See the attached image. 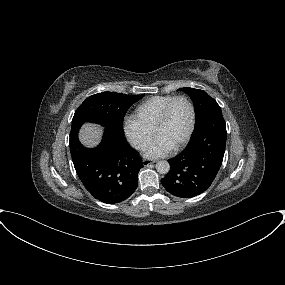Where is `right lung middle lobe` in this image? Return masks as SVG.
Returning a JSON list of instances; mask_svg holds the SVG:
<instances>
[{
    "label": "right lung middle lobe",
    "mask_w": 285,
    "mask_h": 285,
    "mask_svg": "<svg viewBox=\"0 0 285 285\" xmlns=\"http://www.w3.org/2000/svg\"><path fill=\"white\" fill-rule=\"evenodd\" d=\"M144 95H125L116 92H102L92 95L76 110L72 126L85 122L100 123L106 130L124 136L123 118L128 108Z\"/></svg>",
    "instance_id": "obj_1"
}]
</instances>
